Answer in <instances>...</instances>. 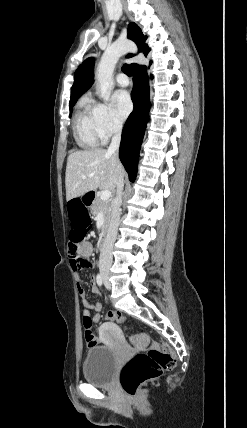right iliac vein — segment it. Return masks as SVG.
Returning a JSON list of instances; mask_svg holds the SVG:
<instances>
[{"label": "right iliac vein", "mask_w": 247, "mask_h": 428, "mask_svg": "<svg viewBox=\"0 0 247 428\" xmlns=\"http://www.w3.org/2000/svg\"><path fill=\"white\" fill-rule=\"evenodd\" d=\"M102 277L106 281L107 286L110 287V284L107 282V280H108V274H107L106 271H102Z\"/></svg>", "instance_id": "right-iliac-vein-1"}]
</instances>
